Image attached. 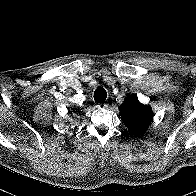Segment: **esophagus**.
<instances>
[{
	"label": "esophagus",
	"instance_id": "34e87169",
	"mask_svg": "<svg viewBox=\"0 0 196 196\" xmlns=\"http://www.w3.org/2000/svg\"><path fill=\"white\" fill-rule=\"evenodd\" d=\"M108 105L107 104H105V103H98L97 104V107H99V108H105V107H107Z\"/></svg>",
	"mask_w": 196,
	"mask_h": 196
}]
</instances>
